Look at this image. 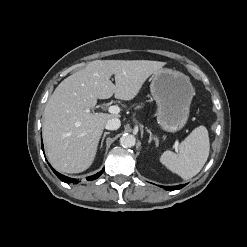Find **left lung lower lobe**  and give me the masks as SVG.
I'll use <instances>...</instances> for the list:
<instances>
[{
  "instance_id": "left-lung-lower-lobe-1",
  "label": "left lung lower lobe",
  "mask_w": 247,
  "mask_h": 247,
  "mask_svg": "<svg viewBox=\"0 0 247 247\" xmlns=\"http://www.w3.org/2000/svg\"><path fill=\"white\" fill-rule=\"evenodd\" d=\"M183 187H184V185H177V186H166V187H163V188L166 189V190H169V191H173V190L181 189Z\"/></svg>"
}]
</instances>
